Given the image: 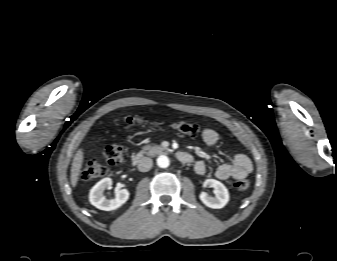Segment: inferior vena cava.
<instances>
[{
	"label": "inferior vena cava",
	"mask_w": 337,
	"mask_h": 261,
	"mask_svg": "<svg viewBox=\"0 0 337 261\" xmlns=\"http://www.w3.org/2000/svg\"><path fill=\"white\" fill-rule=\"evenodd\" d=\"M153 161L149 157H143L138 161V170L141 172H147L152 168Z\"/></svg>",
	"instance_id": "602c4592"
}]
</instances>
